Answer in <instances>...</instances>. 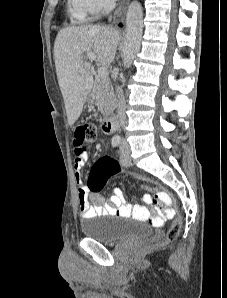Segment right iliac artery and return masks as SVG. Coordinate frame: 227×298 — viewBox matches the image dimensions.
<instances>
[{"instance_id":"82829eb1","label":"right iliac artery","mask_w":227,"mask_h":298,"mask_svg":"<svg viewBox=\"0 0 227 298\" xmlns=\"http://www.w3.org/2000/svg\"><path fill=\"white\" fill-rule=\"evenodd\" d=\"M119 143H120V137H118V136H114V137L112 138V140H111V144H112V146H113V147H116V146L119 145Z\"/></svg>"}]
</instances>
